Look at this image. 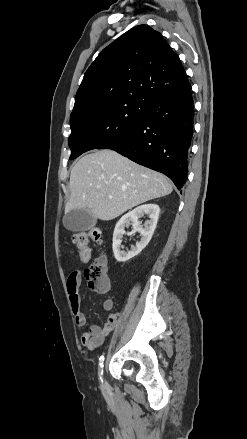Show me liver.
Segmentation results:
<instances>
[{"label": "liver", "instance_id": "obj_1", "mask_svg": "<svg viewBox=\"0 0 247 439\" xmlns=\"http://www.w3.org/2000/svg\"><path fill=\"white\" fill-rule=\"evenodd\" d=\"M70 192L65 213L83 209L108 221L170 194L172 185L165 175L104 149L85 155L73 166Z\"/></svg>", "mask_w": 247, "mask_h": 439}]
</instances>
